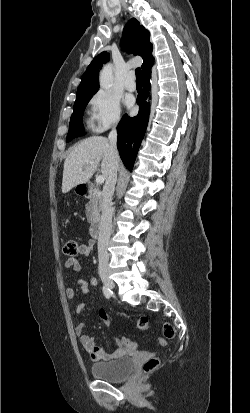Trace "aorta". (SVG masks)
<instances>
[{
    "mask_svg": "<svg viewBox=\"0 0 250 413\" xmlns=\"http://www.w3.org/2000/svg\"><path fill=\"white\" fill-rule=\"evenodd\" d=\"M100 87L104 90H108L113 84V66L111 64L105 65L99 77Z\"/></svg>",
    "mask_w": 250,
    "mask_h": 413,
    "instance_id": "762f6f07",
    "label": "aorta"
}]
</instances>
